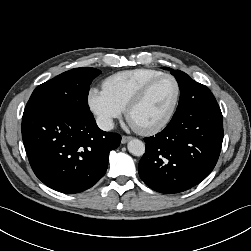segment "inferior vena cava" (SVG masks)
I'll use <instances>...</instances> for the list:
<instances>
[{
  "label": "inferior vena cava",
  "mask_w": 251,
  "mask_h": 251,
  "mask_svg": "<svg viewBox=\"0 0 251 251\" xmlns=\"http://www.w3.org/2000/svg\"><path fill=\"white\" fill-rule=\"evenodd\" d=\"M97 125L100 129H102L104 131H109L114 128L113 120L108 117H98L97 118Z\"/></svg>",
  "instance_id": "602c4592"
}]
</instances>
